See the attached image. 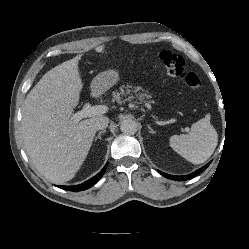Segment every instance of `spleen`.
I'll list each match as a JSON object with an SVG mask.
<instances>
[{
	"mask_svg": "<svg viewBox=\"0 0 249 249\" xmlns=\"http://www.w3.org/2000/svg\"><path fill=\"white\" fill-rule=\"evenodd\" d=\"M218 135L210 123V114L191 126L189 134L173 135L171 148L193 164H201L213 154Z\"/></svg>",
	"mask_w": 249,
	"mask_h": 249,
	"instance_id": "spleen-1",
	"label": "spleen"
}]
</instances>
